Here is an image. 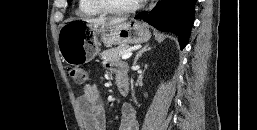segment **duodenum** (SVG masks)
Instances as JSON below:
<instances>
[{"label": "duodenum", "mask_w": 257, "mask_h": 130, "mask_svg": "<svg viewBox=\"0 0 257 130\" xmlns=\"http://www.w3.org/2000/svg\"><path fill=\"white\" fill-rule=\"evenodd\" d=\"M117 87L121 95L126 96L129 91L128 81L120 80L117 82Z\"/></svg>", "instance_id": "1"}]
</instances>
